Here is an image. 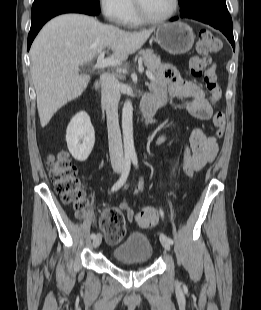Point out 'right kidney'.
<instances>
[{
    "label": "right kidney",
    "mask_w": 261,
    "mask_h": 310,
    "mask_svg": "<svg viewBox=\"0 0 261 310\" xmlns=\"http://www.w3.org/2000/svg\"><path fill=\"white\" fill-rule=\"evenodd\" d=\"M68 149L77 161H85L95 143V132L86 112L77 113L70 121L66 131Z\"/></svg>",
    "instance_id": "1"
}]
</instances>
